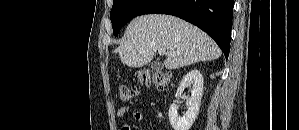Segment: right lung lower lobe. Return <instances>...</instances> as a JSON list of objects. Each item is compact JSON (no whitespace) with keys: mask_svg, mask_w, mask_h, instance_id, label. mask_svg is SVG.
Wrapping results in <instances>:
<instances>
[{"mask_svg":"<svg viewBox=\"0 0 299 130\" xmlns=\"http://www.w3.org/2000/svg\"><path fill=\"white\" fill-rule=\"evenodd\" d=\"M233 0H151L139 13L170 14L182 18L209 34L228 58Z\"/></svg>","mask_w":299,"mask_h":130,"instance_id":"98d812e1","label":"right lung lower lobe"}]
</instances>
